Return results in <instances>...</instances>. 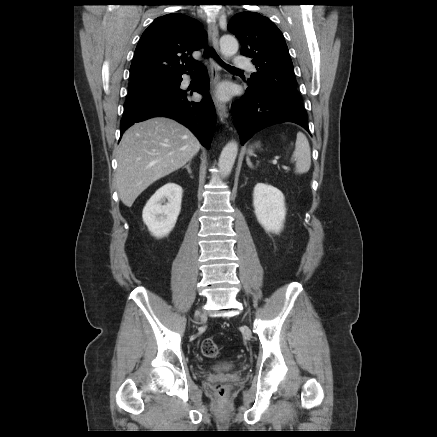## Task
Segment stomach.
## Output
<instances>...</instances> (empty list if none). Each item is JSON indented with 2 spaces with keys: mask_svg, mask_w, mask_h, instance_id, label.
Instances as JSON below:
<instances>
[{
  "mask_svg": "<svg viewBox=\"0 0 437 437\" xmlns=\"http://www.w3.org/2000/svg\"><path fill=\"white\" fill-rule=\"evenodd\" d=\"M256 147H258V144H256ZM253 146H251L249 149H248V154H252L253 153Z\"/></svg>",
  "mask_w": 437,
  "mask_h": 437,
  "instance_id": "0dacf381",
  "label": "stomach"
}]
</instances>
